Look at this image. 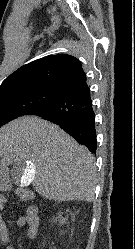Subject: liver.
Listing matches in <instances>:
<instances>
[{
    "label": "liver",
    "mask_w": 135,
    "mask_h": 249,
    "mask_svg": "<svg viewBox=\"0 0 135 249\" xmlns=\"http://www.w3.org/2000/svg\"><path fill=\"white\" fill-rule=\"evenodd\" d=\"M29 161L35 166L33 182L42 197L62 202H92L96 185L95 158L59 126L36 116H23L0 128V168Z\"/></svg>",
    "instance_id": "obj_1"
}]
</instances>
